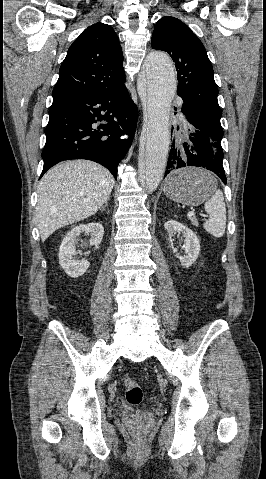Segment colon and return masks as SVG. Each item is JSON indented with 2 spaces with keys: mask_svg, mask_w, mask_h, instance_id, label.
I'll return each mask as SVG.
<instances>
[{
  "mask_svg": "<svg viewBox=\"0 0 266 479\" xmlns=\"http://www.w3.org/2000/svg\"><path fill=\"white\" fill-rule=\"evenodd\" d=\"M125 385V398L129 405L137 406L143 400V391L142 388L136 384L131 376L126 375L124 378Z\"/></svg>",
  "mask_w": 266,
  "mask_h": 479,
  "instance_id": "obj_1",
  "label": "colon"
}]
</instances>
